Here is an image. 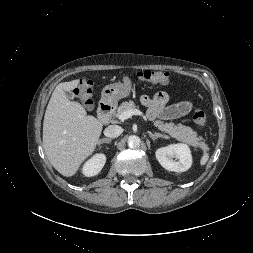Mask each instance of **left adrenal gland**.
I'll list each match as a JSON object with an SVG mask.
<instances>
[{"mask_svg": "<svg viewBox=\"0 0 253 253\" xmlns=\"http://www.w3.org/2000/svg\"><path fill=\"white\" fill-rule=\"evenodd\" d=\"M149 137L152 138L153 141H155L157 138H164V139L169 138L167 135H163V134H160V133L152 134L151 132H149Z\"/></svg>", "mask_w": 253, "mask_h": 253, "instance_id": "obj_1", "label": "left adrenal gland"}]
</instances>
